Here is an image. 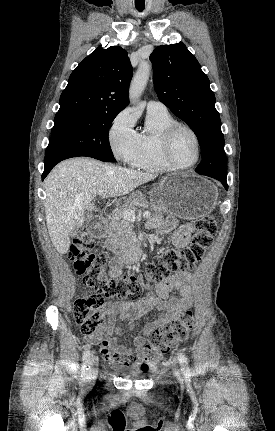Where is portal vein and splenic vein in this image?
<instances>
[{
	"label": "portal vein and splenic vein",
	"mask_w": 275,
	"mask_h": 431,
	"mask_svg": "<svg viewBox=\"0 0 275 431\" xmlns=\"http://www.w3.org/2000/svg\"><path fill=\"white\" fill-rule=\"evenodd\" d=\"M104 194V190H99L98 195L102 196ZM151 215L149 211L143 212V217L148 218ZM122 216L128 221H134L136 219L135 211L132 209H125L123 211Z\"/></svg>",
	"instance_id": "18ae733b"
}]
</instances>
